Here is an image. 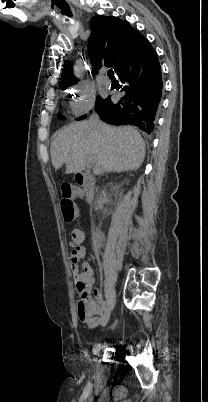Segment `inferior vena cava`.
Instances as JSON below:
<instances>
[{
	"label": "inferior vena cava",
	"instance_id": "1",
	"mask_svg": "<svg viewBox=\"0 0 208 402\" xmlns=\"http://www.w3.org/2000/svg\"><path fill=\"white\" fill-rule=\"evenodd\" d=\"M90 126H100L101 122L97 116V114H92V116H90L89 120H88ZM110 152L109 150H105L104 154H102V156H100V164H104V162H106V160H108V156H109Z\"/></svg>",
	"mask_w": 208,
	"mask_h": 402
}]
</instances>
